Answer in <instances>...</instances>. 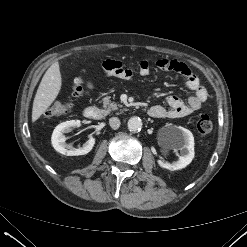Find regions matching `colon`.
<instances>
[{
  "mask_svg": "<svg viewBox=\"0 0 247 247\" xmlns=\"http://www.w3.org/2000/svg\"><path fill=\"white\" fill-rule=\"evenodd\" d=\"M83 93V82L81 78H75L71 89V99L61 103H55L50 106L46 115L49 117L60 116L69 111L73 101L79 98ZM213 128V123L208 115H201L196 122V129L200 134H207Z\"/></svg>",
  "mask_w": 247,
  "mask_h": 247,
  "instance_id": "colon-1",
  "label": "colon"
}]
</instances>
